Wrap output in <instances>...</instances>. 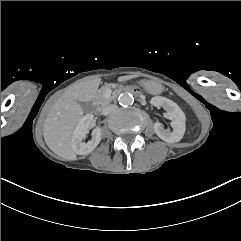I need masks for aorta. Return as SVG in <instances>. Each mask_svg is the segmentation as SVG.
Returning a JSON list of instances; mask_svg holds the SVG:
<instances>
[{
    "label": "aorta",
    "mask_w": 241,
    "mask_h": 241,
    "mask_svg": "<svg viewBox=\"0 0 241 241\" xmlns=\"http://www.w3.org/2000/svg\"><path fill=\"white\" fill-rule=\"evenodd\" d=\"M118 101L121 106H129L133 104L134 97L132 94L125 92L119 96Z\"/></svg>",
    "instance_id": "1"
}]
</instances>
